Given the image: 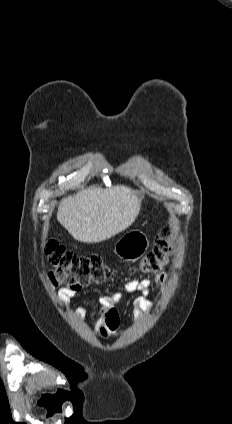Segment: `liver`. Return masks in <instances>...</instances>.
<instances>
[{"instance_id": "6515ba94", "label": "liver", "mask_w": 232, "mask_h": 424, "mask_svg": "<svg viewBox=\"0 0 232 424\" xmlns=\"http://www.w3.org/2000/svg\"><path fill=\"white\" fill-rule=\"evenodd\" d=\"M139 211L140 198L129 187L91 186L62 199L57 219L75 240L97 243L127 229Z\"/></svg>"}]
</instances>
